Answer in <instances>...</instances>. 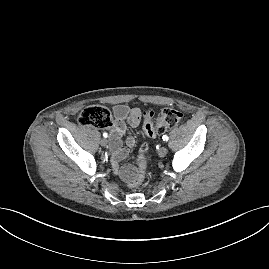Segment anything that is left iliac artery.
I'll use <instances>...</instances> for the list:
<instances>
[{
	"label": "left iliac artery",
	"mask_w": 269,
	"mask_h": 269,
	"mask_svg": "<svg viewBox=\"0 0 269 269\" xmlns=\"http://www.w3.org/2000/svg\"><path fill=\"white\" fill-rule=\"evenodd\" d=\"M162 139H163L164 141H168L169 137H168L167 135H163Z\"/></svg>",
	"instance_id": "obj_1"
}]
</instances>
